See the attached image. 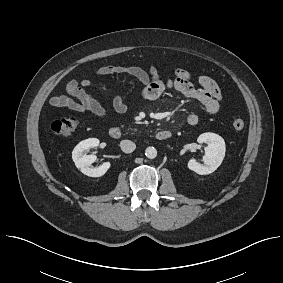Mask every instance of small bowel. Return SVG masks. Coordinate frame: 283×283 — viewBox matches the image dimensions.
<instances>
[{
    "label": "small bowel",
    "mask_w": 283,
    "mask_h": 283,
    "mask_svg": "<svg viewBox=\"0 0 283 283\" xmlns=\"http://www.w3.org/2000/svg\"><path fill=\"white\" fill-rule=\"evenodd\" d=\"M109 74H127L135 77L143 85L142 95L146 100L158 99L166 90L173 89L183 96L199 102L208 114L214 115L220 109L222 94L217 83L208 76L198 78L199 87H195L189 72L177 68L174 78L162 80L155 67L147 69L140 66H105L99 68L96 76ZM93 84L92 78H85L80 82L72 79L65 84L66 94L53 95L49 103L53 107H63L77 112H91L97 117L107 116L105 108L90 94L89 88ZM114 110L118 113L125 112L127 105L121 95L114 97L112 101ZM199 122V116L191 113L187 117V123L195 126Z\"/></svg>",
    "instance_id": "small-bowel-1"
}]
</instances>
